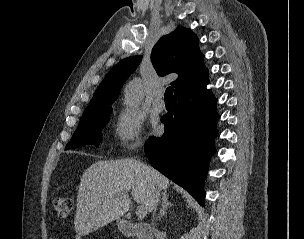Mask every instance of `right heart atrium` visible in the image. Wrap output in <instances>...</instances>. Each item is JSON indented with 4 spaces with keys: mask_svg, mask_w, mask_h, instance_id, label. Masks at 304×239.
<instances>
[{
    "mask_svg": "<svg viewBox=\"0 0 304 239\" xmlns=\"http://www.w3.org/2000/svg\"><path fill=\"white\" fill-rule=\"evenodd\" d=\"M143 119L138 112L124 108L118 112L113 126L116 144L125 149L138 146L142 141Z\"/></svg>",
    "mask_w": 304,
    "mask_h": 239,
    "instance_id": "d8ad5b80",
    "label": "right heart atrium"
}]
</instances>
